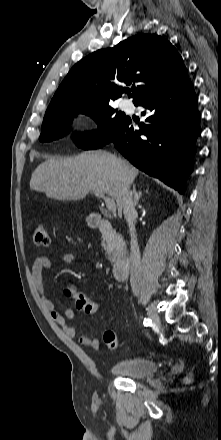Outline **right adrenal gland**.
<instances>
[{"mask_svg":"<svg viewBox=\"0 0 221 440\" xmlns=\"http://www.w3.org/2000/svg\"><path fill=\"white\" fill-rule=\"evenodd\" d=\"M133 194H134V205L136 206V205H138V202H139V199H140V197L142 195V192L141 191H139V192L136 191V185L135 184L133 185Z\"/></svg>","mask_w":221,"mask_h":440,"instance_id":"obj_1","label":"right adrenal gland"}]
</instances>
